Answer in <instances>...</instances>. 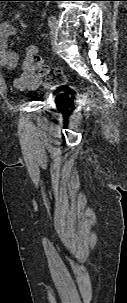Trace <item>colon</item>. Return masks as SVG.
I'll return each instance as SVG.
<instances>
[{
  "label": "colon",
  "instance_id": "5ec220e1",
  "mask_svg": "<svg viewBox=\"0 0 127 303\" xmlns=\"http://www.w3.org/2000/svg\"><path fill=\"white\" fill-rule=\"evenodd\" d=\"M31 66L39 73L44 79L47 85L51 87H62L66 84V78L63 72L58 68H50L45 64L42 56L32 53L31 54Z\"/></svg>",
  "mask_w": 127,
  "mask_h": 303
}]
</instances>
